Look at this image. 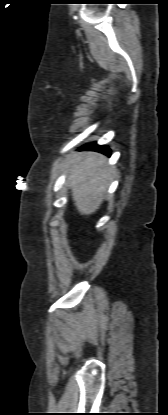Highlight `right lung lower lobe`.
<instances>
[{
  "label": "right lung lower lobe",
  "mask_w": 168,
  "mask_h": 415,
  "mask_svg": "<svg viewBox=\"0 0 168 415\" xmlns=\"http://www.w3.org/2000/svg\"><path fill=\"white\" fill-rule=\"evenodd\" d=\"M82 149L95 150L110 156V149L107 146H99L96 143L87 144Z\"/></svg>",
  "instance_id": "98d812e1"
}]
</instances>
